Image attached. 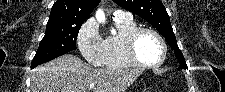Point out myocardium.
I'll return each mask as SVG.
<instances>
[{
	"label": "myocardium",
	"instance_id": "myocardium-1",
	"mask_svg": "<svg viewBox=\"0 0 225 92\" xmlns=\"http://www.w3.org/2000/svg\"><path fill=\"white\" fill-rule=\"evenodd\" d=\"M143 33H150L152 34L160 43L162 47V57L161 59L155 64H146L139 58L136 50L137 40ZM125 52L130 60V62L139 68L144 69H155L164 64L167 58V45L164 38L154 29L149 27H137L136 29L132 30L125 40Z\"/></svg>",
	"mask_w": 225,
	"mask_h": 92
}]
</instances>
